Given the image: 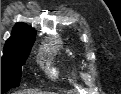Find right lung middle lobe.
<instances>
[{"instance_id": "obj_1", "label": "right lung middle lobe", "mask_w": 121, "mask_h": 94, "mask_svg": "<svg viewBox=\"0 0 121 94\" xmlns=\"http://www.w3.org/2000/svg\"><path fill=\"white\" fill-rule=\"evenodd\" d=\"M34 41L35 34L19 42L5 45L4 55L1 57V94L19 86L21 66L25 64Z\"/></svg>"}]
</instances>
